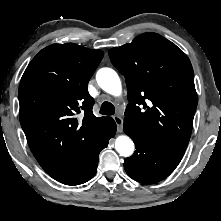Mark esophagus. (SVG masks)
<instances>
[{
    "label": "esophagus",
    "mask_w": 221,
    "mask_h": 221,
    "mask_svg": "<svg viewBox=\"0 0 221 221\" xmlns=\"http://www.w3.org/2000/svg\"><path fill=\"white\" fill-rule=\"evenodd\" d=\"M113 120L117 125V131L122 132V130H123V119L119 116H114Z\"/></svg>",
    "instance_id": "1"
}]
</instances>
